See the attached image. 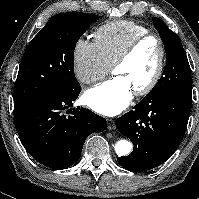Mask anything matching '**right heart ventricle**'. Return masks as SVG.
<instances>
[{"instance_id":"obj_1","label":"right heart ventricle","mask_w":199,"mask_h":199,"mask_svg":"<svg viewBox=\"0 0 199 199\" xmlns=\"http://www.w3.org/2000/svg\"><path fill=\"white\" fill-rule=\"evenodd\" d=\"M147 32V27L133 21H113L96 29L94 39L104 60L111 67L132 40Z\"/></svg>"}]
</instances>
